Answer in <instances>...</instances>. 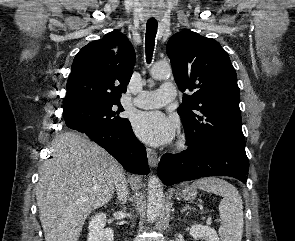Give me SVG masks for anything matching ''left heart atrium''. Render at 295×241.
<instances>
[{"mask_svg": "<svg viewBox=\"0 0 295 241\" xmlns=\"http://www.w3.org/2000/svg\"><path fill=\"white\" fill-rule=\"evenodd\" d=\"M133 129L142 141L159 146L174 138L177 123L159 111L142 112L134 118Z\"/></svg>", "mask_w": 295, "mask_h": 241, "instance_id": "obj_1", "label": "left heart atrium"}]
</instances>
